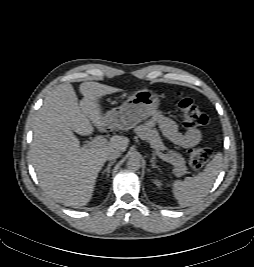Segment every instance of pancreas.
Listing matches in <instances>:
<instances>
[{
	"mask_svg": "<svg viewBox=\"0 0 254 267\" xmlns=\"http://www.w3.org/2000/svg\"><path fill=\"white\" fill-rule=\"evenodd\" d=\"M135 133L142 139L150 143L151 147L157 152L163 151L166 149L164 146L157 130L151 125H141L135 128ZM169 157V163L174 166L175 175L180 177L186 173V161L180 153L174 151H169L167 155Z\"/></svg>",
	"mask_w": 254,
	"mask_h": 267,
	"instance_id": "pancreas-1",
	"label": "pancreas"
}]
</instances>
